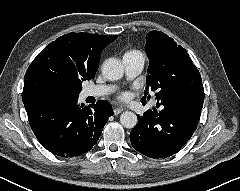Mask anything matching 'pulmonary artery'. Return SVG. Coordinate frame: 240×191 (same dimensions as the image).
Wrapping results in <instances>:
<instances>
[{
  "label": "pulmonary artery",
  "mask_w": 240,
  "mask_h": 191,
  "mask_svg": "<svg viewBox=\"0 0 240 191\" xmlns=\"http://www.w3.org/2000/svg\"><path fill=\"white\" fill-rule=\"evenodd\" d=\"M122 62L127 77L133 78L143 70L145 58L140 52H127L123 55ZM113 90L111 85H94L87 88L86 95L100 97L110 94Z\"/></svg>",
  "instance_id": "e3ab8cb5"
}]
</instances>
